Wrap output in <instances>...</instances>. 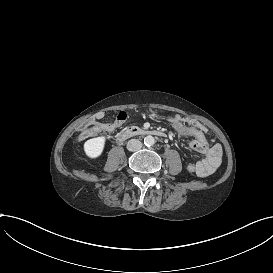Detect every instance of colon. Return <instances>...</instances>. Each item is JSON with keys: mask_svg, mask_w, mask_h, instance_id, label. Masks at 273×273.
I'll use <instances>...</instances> for the list:
<instances>
[{"mask_svg": "<svg viewBox=\"0 0 273 273\" xmlns=\"http://www.w3.org/2000/svg\"><path fill=\"white\" fill-rule=\"evenodd\" d=\"M96 124V119L95 118H89L88 120H87V125L88 126H93V125H95ZM80 131L81 132H86L87 131V126L86 125H81L80 126Z\"/></svg>", "mask_w": 273, "mask_h": 273, "instance_id": "5ec220e1", "label": "colon"}]
</instances>
